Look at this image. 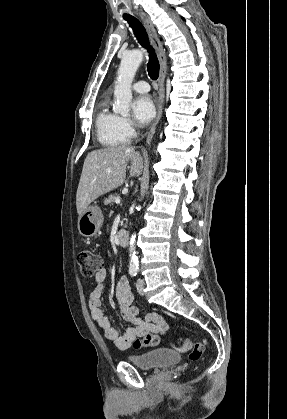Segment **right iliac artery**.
<instances>
[{"label":"right iliac artery","mask_w":287,"mask_h":419,"mask_svg":"<svg viewBox=\"0 0 287 419\" xmlns=\"http://www.w3.org/2000/svg\"><path fill=\"white\" fill-rule=\"evenodd\" d=\"M129 273L132 277H134L137 275V270H130Z\"/></svg>","instance_id":"1"}]
</instances>
